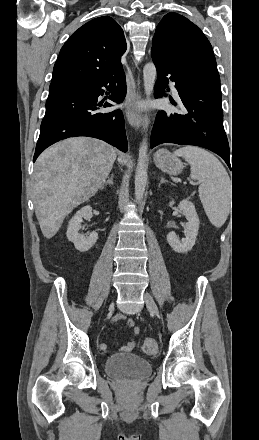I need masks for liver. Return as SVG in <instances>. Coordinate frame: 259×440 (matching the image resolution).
<instances>
[{"mask_svg":"<svg viewBox=\"0 0 259 440\" xmlns=\"http://www.w3.org/2000/svg\"><path fill=\"white\" fill-rule=\"evenodd\" d=\"M117 157L108 143L73 137L47 148L34 168V208L42 234L52 238L66 216L103 187ZM118 161L126 163L124 155Z\"/></svg>","mask_w":259,"mask_h":440,"instance_id":"obj_1","label":"liver"}]
</instances>
